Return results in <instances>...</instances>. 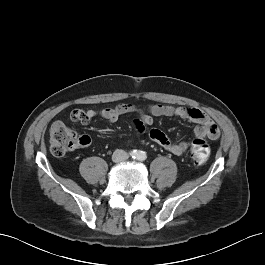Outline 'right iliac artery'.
Returning a JSON list of instances; mask_svg holds the SVG:
<instances>
[{
  "mask_svg": "<svg viewBox=\"0 0 265 265\" xmlns=\"http://www.w3.org/2000/svg\"><path fill=\"white\" fill-rule=\"evenodd\" d=\"M130 156L132 157V158H137L138 157V152L136 151V150H132V151H130Z\"/></svg>",
  "mask_w": 265,
  "mask_h": 265,
  "instance_id": "obj_1",
  "label": "right iliac artery"
}]
</instances>
